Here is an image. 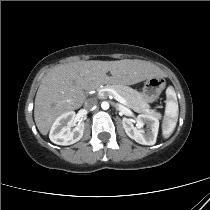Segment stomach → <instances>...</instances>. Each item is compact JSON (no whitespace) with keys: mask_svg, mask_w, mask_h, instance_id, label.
<instances>
[{"mask_svg":"<svg viewBox=\"0 0 210 210\" xmlns=\"http://www.w3.org/2000/svg\"><path fill=\"white\" fill-rule=\"evenodd\" d=\"M166 86L165 79L157 76L147 79L143 86V96L147 102L155 101Z\"/></svg>","mask_w":210,"mask_h":210,"instance_id":"obj_1","label":"stomach"}]
</instances>
